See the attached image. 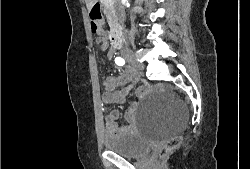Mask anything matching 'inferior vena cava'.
<instances>
[{
	"instance_id": "602c4592",
	"label": "inferior vena cava",
	"mask_w": 250,
	"mask_h": 169,
	"mask_svg": "<svg viewBox=\"0 0 250 169\" xmlns=\"http://www.w3.org/2000/svg\"><path fill=\"white\" fill-rule=\"evenodd\" d=\"M119 18H120V22H122V20H124L123 18V14H118Z\"/></svg>"
}]
</instances>
